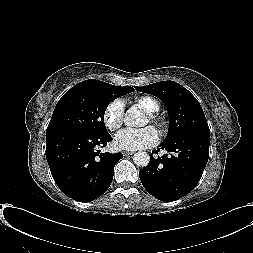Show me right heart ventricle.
<instances>
[{"label": "right heart ventricle", "instance_id": "right-heart-ventricle-1", "mask_svg": "<svg viewBox=\"0 0 253 253\" xmlns=\"http://www.w3.org/2000/svg\"><path fill=\"white\" fill-rule=\"evenodd\" d=\"M133 104L146 113H157L160 109L158 101L147 95L138 96L133 100Z\"/></svg>", "mask_w": 253, "mask_h": 253}]
</instances>
